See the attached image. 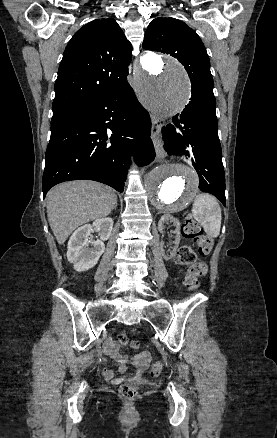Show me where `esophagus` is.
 I'll list each match as a JSON object with an SVG mask.
<instances>
[{"instance_id":"1","label":"esophagus","mask_w":277,"mask_h":438,"mask_svg":"<svg viewBox=\"0 0 277 438\" xmlns=\"http://www.w3.org/2000/svg\"><path fill=\"white\" fill-rule=\"evenodd\" d=\"M134 67L138 69L141 68V64L139 60L134 61ZM162 125L163 122L160 118L151 115V139L153 141L156 153L160 158L164 157V149H163L162 137H161Z\"/></svg>"}]
</instances>
